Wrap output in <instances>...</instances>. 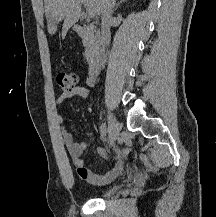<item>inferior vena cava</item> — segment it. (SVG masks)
Masks as SVG:
<instances>
[{"label":"inferior vena cava","mask_w":216,"mask_h":217,"mask_svg":"<svg viewBox=\"0 0 216 217\" xmlns=\"http://www.w3.org/2000/svg\"><path fill=\"white\" fill-rule=\"evenodd\" d=\"M116 0H106L101 19V42L107 45L110 41V27L112 23V13L114 11Z\"/></svg>","instance_id":"inferior-vena-cava-1"}]
</instances>
